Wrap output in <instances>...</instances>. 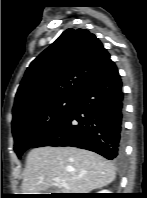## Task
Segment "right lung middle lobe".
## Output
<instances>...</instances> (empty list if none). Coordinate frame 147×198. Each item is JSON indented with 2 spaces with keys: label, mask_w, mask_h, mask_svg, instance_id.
<instances>
[{
  "label": "right lung middle lobe",
  "mask_w": 147,
  "mask_h": 198,
  "mask_svg": "<svg viewBox=\"0 0 147 198\" xmlns=\"http://www.w3.org/2000/svg\"><path fill=\"white\" fill-rule=\"evenodd\" d=\"M75 99H61L38 106L12 121L14 151L23 152L43 139L70 112Z\"/></svg>",
  "instance_id": "right-lung-middle-lobe-1"
}]
</instances>
